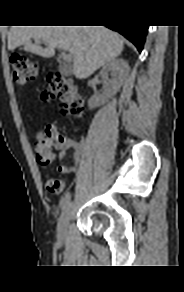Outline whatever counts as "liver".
<instances>
[{"label": "liver", "instance_id": "6515ba94", "mask_svg": "<svg viewBox=\"0 0 184 292\" xmlns=\"http://www.w3.org/2000/svg\"><path fill=\"white\" fill-rule=\"evenodd\" d=\"M42 41L47 47L33 44ZM23 45L26 51L50 58L55 49L68 51L73 60V74L85 79L105 63L115 59L124 48L122 38L104 26H13L8 35V49Z\"/></svg>", "mask_w": 184, "mask_h": 292}]
</instances>
